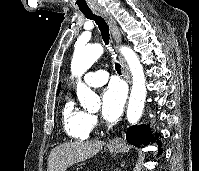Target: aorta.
Listing matches in <instances>:
<instances>
[{"label": "aorta", "mask_w": 199, "mask_h": 171, "mask_svg": "<svg viewBox=\"0 0 199 171\" xmlns=\"http://www.w3.org/2000/svg\"><path fill=\"white\" fill-rule=\"evenodd\" d=\"M103 51L100 44L76 48L71 62V72L79 78L77 83L78 99L81 106L89 110L98 108L100 99L89 87L81 82L80 77L102 55ZM121 52L132 74V89L128 102L127 120L131 124H136L142 115L146 99L145 75L139 58L132 49L123 47Z\"/></svg>", "instance_id": "1"}]
</instances>
